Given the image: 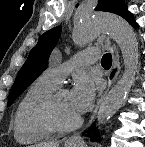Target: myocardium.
<instances>
[{"label":"myocardium","instance_id":"myocardium-1","mask_svg":"<svg viewBox=\"0 0 145 147\" xmlns=\"http://www.w3.org/2000/svg\"><path fill=\"white\" fill-rule=\"evenodd\" d=\"M65 92H68L66 88L57 87L39 103V111L42 117L56 132H70L78 128L82 123L80 116L71 123H65L59 118L56 104L60 95Z\"/></svg>","mask_w":145,"mask_h":147}]
</instances>
